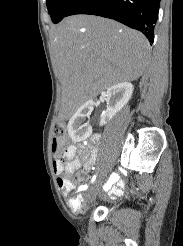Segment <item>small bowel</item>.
Returning <instances> with one entry per match:
<instances>
[{
  "label": "small bowel",
  "mask_w": 183,
  "mask_h": 246,
  "mask_svg": "<svg viewBox=\"0 0 183 246\" xmlns=\"http://www.w3.org/2000/svg\"><path fill=\"white\" fill-rule=\"evenodd\" d=\"M99 142L100 136H92L89 140V143L80 149L79 156L76 155L77 147L75 145H69L66 148L64 155V159L67 161V163L64 164L60 160L54 161L53 167L54 172L57 176V183L64 194H69L74 189V185H72L71 181L68 179V176L77 171L81 167V164L83 162L85 163V169H89L91 161L95 158L97 154ZM113 173L114 174L111 175L112 179L122 178L121 174H117V169H114ZM86 189V184H82L78 188L80 192L85 191ZM102 189H108V193L111 197L120 196L124 190V183L118 180H106L105 184H102Z\"/></svg>",
  "instance_id": "obj_1"
}]
</instances>
